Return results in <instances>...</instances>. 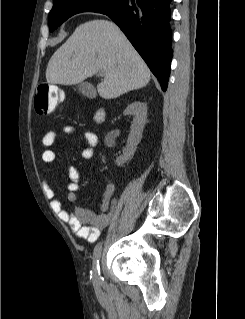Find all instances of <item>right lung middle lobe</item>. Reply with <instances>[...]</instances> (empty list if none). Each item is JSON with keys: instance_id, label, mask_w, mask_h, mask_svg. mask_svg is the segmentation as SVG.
Here are the masks:
<instances>
[{"instance_id": "right-lung-middle-lobe-1", "label": "right lung middle lobe", "mask_w": 245, "mask_h": 319, "mask_svg": "<svg viewBox=\"0 0 245 319\" xmlns=\"http://www.w3.org/2000/svg\"><path fill=\"white\" fill-rule=\"evenodd\" d=\"M123 0H54L49 14V28L54 31L74 14L80 12H98L106 14L116 9Z\"/></svg>"}]
</instances>
